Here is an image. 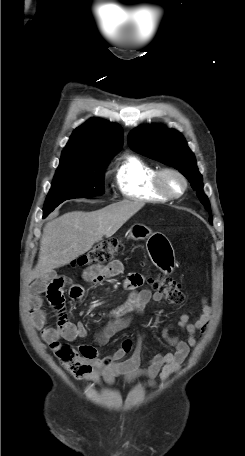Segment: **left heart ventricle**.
Returning <instances> with one entry per match:
<instances>
[{
    "instance_id": "left-heart-ventricle-1",
    "label": "left heart ventricle",
    "mask_w": 245,
    "mask_h": 456,
    "mask_svg": "<svg viewBox=\"0 0 245 456\" xmlns=\"http://www.w3.org/2000/svg\"><path fill=\"white\" fill-rule=\"evenodd\" d=\"M164 184L172 193H179L183 188L182 181L173 174H167L164 177Z\"/></svg>"
}]
</instances>
